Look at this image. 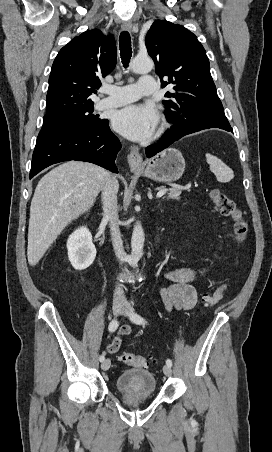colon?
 <instances>
[{"label":"colon","mask_w":272,"mask_h":452,"mask_svg":"<svg viewBox=\"0 0 272 452\" xmlns=\"http://www.w3.org/2000/svg\"><path fill=\"white\" fill-rule=\"evenodd\" d=\"M210 198L214 208L219 213L234 220V232L237 241H244L247 235L248 225L235 202L218 189L210 192ZM224 290L225 285H219L212 293H204L202 295L203 303L208 307L214 306L221 299ZM121 361L126 365L134 367H146L151 362L150 359L134 353L122 354Z\"/></svg>","instance_id":"1"}]
</instances>
